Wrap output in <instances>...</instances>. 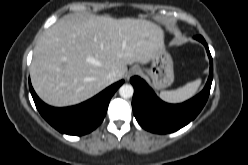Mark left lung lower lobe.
<instances>
[{
    "label": "left lung lower lobe",
    "mask_w": 248,
    "mask_h": 165,
    "mask_svg": "<svg viewBox=\"0 0 248 165\" xmlns=\"http://www.w3.org/2000/svg\"><path fill=\"white\" fill-rule=\"evenodd\" d=\"M194 38L204 44L210 60L208 81L197 96L182 104H168L161 101L140 77L130 79L134 87L133 113L144 129L159 134L177 131L192 121L207 102L213 79V60L204 38L201 35Z\"/></svg>",
    "instance_id": "0a47b994"
}]
</instances>
